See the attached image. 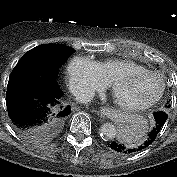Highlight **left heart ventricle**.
I'll return each mask as SVG.
<instances>
[{
    "mask_svg": "<svg viewBox=\"0 0 177 177\" xmlns=\"http://www.w3.org/2000/svg\"><path fill=\"white\" fill-rule=\"evenodd\" d=\"M159 89L158 78L144 75L122 82L115 90V97L123 104L138 105L151 100Z\"/></svg>",
    "mask_w": 177,
    "mask_h": 177,
    "instance_id": "obj_1",
    "label": "left heart ventricle"
}]
</instances>
